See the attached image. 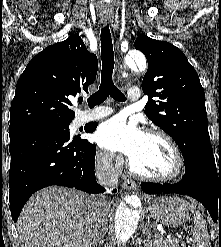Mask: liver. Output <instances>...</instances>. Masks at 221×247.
Listing matches in <instances>:
<instances>
[{
  "instance_id": "obj_1",
  "label": "liver",
  "mask_w": 221,
  "mask_h": 247,
  "mask_svg": "<svg viewBox=\"0 0 221 247\" xmlns=\"http://www.w3.org/2000/svg\"><path fill=\"white\" fill-rule=\"evenodd\" d=\"M94 199L57 186L40 190L18 218L19 238L25 247H91ZM109 208L107 203L108 212Z\"/></svg>"
}]
</instances>
